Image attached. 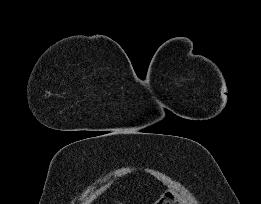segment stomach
Here are the masks:
<instances>
[{"mask_svg":"<svg viewBox=\"0 0 261 204\" xmlns=\"http://www.w3.org/2000/svg\"><path fill=\"white\" fill-rule=\"evenodd\" d=\"M155 204H179L174 193L170 190L166 191Z\"/></svg>","mask_w":261,"mask_h":204,"instance_id":"1","label":"stomach"}]
</instances>
